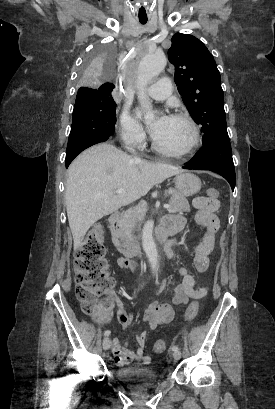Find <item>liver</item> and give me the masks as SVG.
Here are the masks:
<instances>
[{
    "label": "liver",
    "instance_id": "obj_1",
    "mask_svg": "<svg viewBox=\"0 0 275 409\" xmlns=\"http://www.w3.org/2000/svg\"><path fill=\"white\" fill-rule=\"evenodd\" d=\"M182 168L133 158L109 142L90 146L76 156L68 168L65 205L74 251L81 247L90 227L123 205L147 194L165 178ZM125 188V192H115Z\"/></svg>",
    "mask_w": 275,
    "mask_h": 409
}]
</instances>
